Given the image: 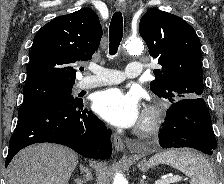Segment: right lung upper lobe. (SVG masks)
<instances>
[{
    "mask_svg": "<svg viewBox=\"0 0 224 184\" xmlns=\"http://www.w3.org/2000/svg\"><path fill=\"white\" fill-rule=\"evenodd\" d=\"M101 37L102 27L92 9L54 18L34 37L25 84H74L76 63L92 58Z\"/></svg>",
    "mask_w": 224,
    "mask_h": 184,
    "instance_id": "cb5924a9",
    "label": "right lung upper lobe"
}]
</instances>
